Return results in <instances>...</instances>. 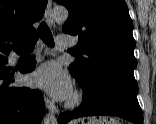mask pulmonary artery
Here are the masks:
<instances>
[{"mask_svg": "<svg viewBox=\"0 0 156 124\" xmlns=\"http://www.w3.org/2000/svg\"><path fill=\"white\" fill-rule=\"evenodd\" d=\"M57 45L63 48L70 47L71 45H73V40L68 38L67 36L60 35L57 37Z\"/></svg>", "mask_w": 156, "mask_h": 124, "instance_id": "e3ab8cb5", "label": "pulmonary artery"}]
</instances>
